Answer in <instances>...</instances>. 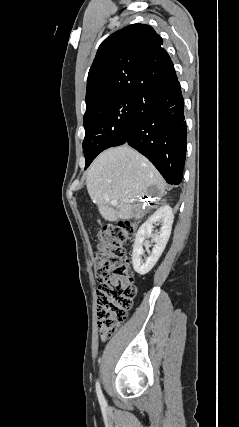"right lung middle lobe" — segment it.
Returning <instances> with one entry per match:
<instances>
[{
  "label": "right lung middle lobe",
  "mask_w": 239,
  "mask_h": 427,
  "mask_svg": "<svg viewBox=\"0 0 239 427\" xmlns=\"http://www.w3.org/2000/svg\"><path fill=\"white\" fill-rule=\"evenodd\" d=\"M137 101V96H124L99 101L86 108L83 118L85 169L100 152L124 143Z\"/></svg>",
  "instance_id": "dd1d6c3e"
}]
</instances>
